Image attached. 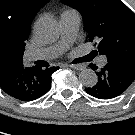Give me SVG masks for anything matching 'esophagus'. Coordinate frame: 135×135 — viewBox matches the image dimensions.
<instances>
[{"label":"esophagus","instance_id":"obj_1","mask_svg":"<svg viewBox=\"0 0 135 135\" xmlns=\"http://www.w3.org/2000/svg\"><path fill=\"white\" fill-rule=\"evenodd\" d=\"M69 67L75 70H83L86 66L84 64H71Z\"/></svg>","mask_w":135,"mask_h":135}]
</instances>
